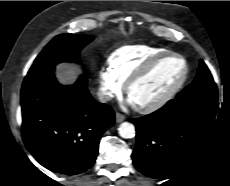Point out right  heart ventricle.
Listing matches in <instances>:
<instances>
[{"label": "right heart ventricle", "instance_id": "e07e8e85", "mask_svg": "<svg viewBox=\"0 0 230 186\" xmlns=\"http://www.w3.org/2000/svg\"><path fill=\"white\" fill-rule=\"evenodd\" d=\"M168 50L150 45H128L116 49L108 59V68L122 83L147 61Z\"/></svg>", "mask_w": 230, "mask_h": 186}]
</instances>
